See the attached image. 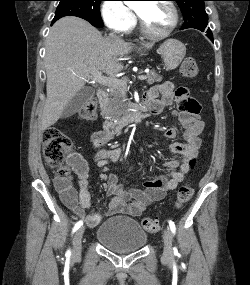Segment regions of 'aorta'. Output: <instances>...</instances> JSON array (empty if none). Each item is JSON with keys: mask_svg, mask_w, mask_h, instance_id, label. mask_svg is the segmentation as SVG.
Instances as JSON below:
<instances>
[{"mask_svg": "<svg viewBox=\"0 0 250 285\" xmlns=\"http://www.w3.org/2000/svg\"><path fill=\"white\" fill-rule=\"evenodd\" d=\"M125 3H126V4H131V3H132V1H126Z\"/></svg>", "mask_w": 250, "mask_h": 285, "instance_id": "aorta-1", "label": "aorta"}]
</instances>
